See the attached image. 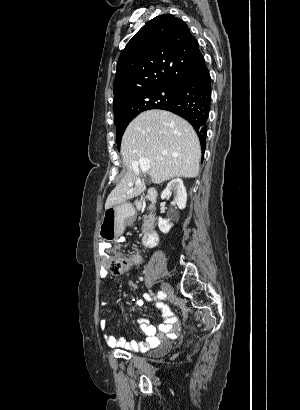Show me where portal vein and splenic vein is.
<instances>
[{
    "label": "portal vein and splenic vein",
    "mask_w": 300,
    "mask_h": 410,
    "mask_svg": "<svg viewBox=\"0 0 300 410\" xmlns=\"http://www.w3.org/2000/svg\"><path fill=\"white\" fill-rule=\"evenodd\" d=\"M150 165V160L147 158H142L139 161H136L132 164L133 169L136 173H139L141 170L143 173L148 172Z\"/></svg>",
    "instance_id": "18ae733b"
}]
</instances>
